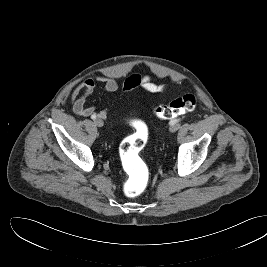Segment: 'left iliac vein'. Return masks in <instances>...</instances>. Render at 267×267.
I'll return each instance as SVG.
<instances>
[{"label":"left iliac vein","mask_w":267,"mask_h":267,"mask_svg":"<svg viewBox=\"0 0 267 267\" xmlns=\"http://www.w3.org/2000/svg\"><path fill=\"white\" fill-rule=\"evenodd\" d=\"M179 128H180V124L175 123V124L170 125V127H169V131L172 132V133H174V132H176Z\"/></svg>","instance_id":"1"}]
</instances>
